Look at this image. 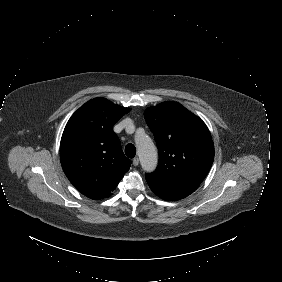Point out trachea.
Returning a JSON list of instances; mask_svg holds the SVG:
<instances>
[{
  "mask_svg": "<svg viewBox=\"0 0 282 282\" xmlns=\"http://www.w3.org/2000/svg\"><path fill=\"white\" fill-rule=\"evenodd\" d=\"M125 154L128 158H133L136 154V148L133 144H127L125 147Z\"/></svg>",
  "mask_w": 282,
  "mask_h": 282,
  "instance_id": "obj_1",
  "label": "trachea"
}]
</instances>
